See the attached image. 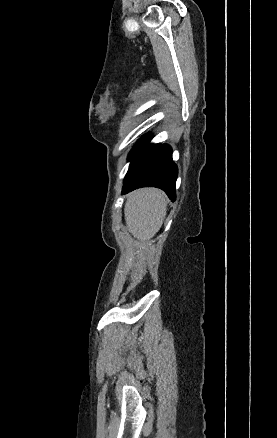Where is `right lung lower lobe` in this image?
Segmentation results:
<instances>
[{
  "label": "right lung lower lobe",
  "mask_w": 277,
  "mask_h": 438,
  "mask_svg": "<svg viewBox=\"0 0 277 438\" xmlns=\"http://www.w3.org/2000/svg\"><path fill=\"white\" fill-rule=\"evenodd\" d=\"M177 173L171 147L167 144H149L129 169L122 194L141 187H157L175 201Z\"/></svg>",
  "instance_id": "1"
}]
</instances>
